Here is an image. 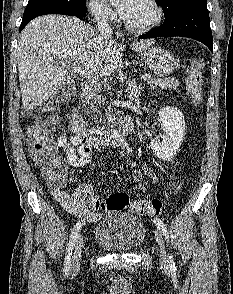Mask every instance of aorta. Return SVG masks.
<instances>
[{"label": "aorta", "instance_id": "aorta-1", "mask_svg": "<svg viewBox=\"0 0 233 294\" xmlns=\"http://www.w3.org/2000/svg\"><path fill=\"white\" fill-rule=\"evenodd\" d=\"M112 136L119 141L120 143H122L123 145L127 146L126 141L123 139V137L114 129L112 130Z\"/></svg>", "mask_w": 233, "mask_h": 294}]
</instances>
